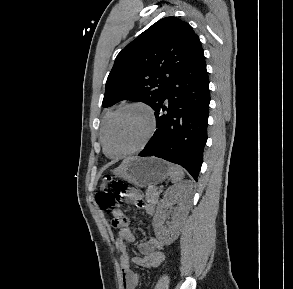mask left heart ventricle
<instances>
[{"label":"left heart ventricle","mask_w":293,"mask_h":289,"mask_svg":"<svg viewBox=\"0 0 293 289\" xmlns=\"http://www.w3.org/2000/svg\"><path fill=\"white\" fill-rule=\"evenodd\" d=\"M148 127L149 120L144 110H124L114 119L108 130V151L111 154H120L135 148L144 139Z\"/></svg>","instance_id":"b2bd125f"}]
</instances>
